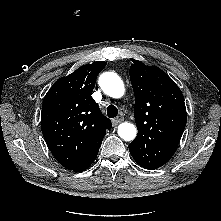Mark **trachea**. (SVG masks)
I'll list each match as a JSON object with an SVG mask.
<instances>
[{
	"instance_id": "3493384b",
	"label": "trachea",
	"mask_w": 221,
	"mask_h": 221,
	"mask_svg": "<svg viewBox=\"0 0 221 221\" xmlns=\"http://www.w3.org/2000/svg\"><path fill=\"white\" fill-rule=\"evenodd\" d=\"M107 115L109 118H114L118 115V109L114 105H109L107 108Z\"/></svg>"
}]
</instances>
